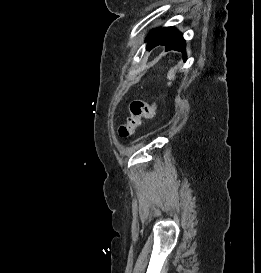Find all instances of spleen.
<instances>
[{
	"label": "spleen",
	"mask_w": 261,
	"mask_h": 273,
	"mask_svg": "<svg viewBox=\"0 0 261 273\" xmlns=\"http://www.w3.org/2000/svg\"><path fill=\"white\" fill-rule=\"evenodd\" d=\"M167 78L169 79V82H168V86L171 85V80H174L175 79V71L173 68H171L167 74Z\"/></svg>",
	"instance_id": "3e777b00"
}]
</instances>
